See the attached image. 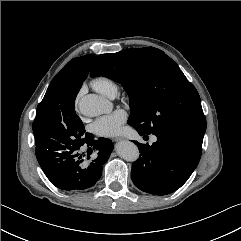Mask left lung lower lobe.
<instances>
[{"label": "left lung lower lobe", "instance_id": "1", "mask_svg": "<svg viewBox=\"0 0 241 241\" xmlns=\"http://www.w3.org/2000/svg\"><path fill=\"white\" fill-rule=\"evenodd\" d=\"M154 135L157 141L151 146L135 142L141 154L132 164L131 178L144 192L166 195L180 188L197 167L203 136L170 128Z\"/></svg>", "mask_w": 241, "mask_h": 241}]
</instances>
